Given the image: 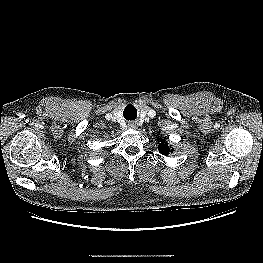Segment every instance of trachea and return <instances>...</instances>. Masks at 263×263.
<instances>
[{"mask_svg": "<svg viewBox=\"0 0 263 263\" xmlns=\"http://www.w3.org/2000/svg\"><path fill=\"white\" fill-rule=\"evenodd\" d=\"M123 116L126 120H134L137 117V110L133 105H128L124 109Z\"/></svg>", "mask_w": 263, "mask_h": 263, "instance_id": "3493384b", "label": "trachea"}]
</instances>
